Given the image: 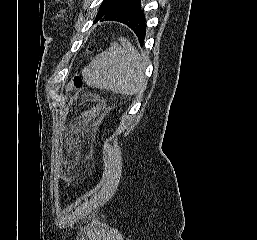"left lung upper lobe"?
I'll use <instances>...</instances> for the list:
<instances>
[{
  "instance_id": "left-lung-upper-lobe-1",
  "label": "left lung upper lobe",
  "mask_w": 257,
  "mask_h": 240,
  "mask_svg": "<svg viewBox=\"0 0 257 240\" xmlns=\"http://www.w3.org/2000/svg\"><path fill=\"white\" fill-rule=\"evenodd\" d=\"M119 1L120 0H104L99 7L95 22L98 21L111 7L116 5Z\"/></svg>"
}]
</instances>
